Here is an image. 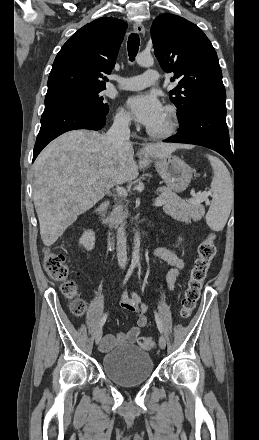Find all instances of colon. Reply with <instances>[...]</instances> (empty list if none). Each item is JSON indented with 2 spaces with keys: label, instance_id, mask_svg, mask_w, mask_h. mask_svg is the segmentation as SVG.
Masks as SVG:
<instances>
[{
  "label": "colon",
  "instance_id": "5ec220e1",
  "mask_svg": "<svg viewBox=\"0 0 259 440\" xmlns=\"http://www.w3.org/2000/svg\"><path fill=\"white\" fill-rule=\"evenodd\" d=\"M216 244L214 234H209L198 247V256L190 272L187 288L181 301L180 317L187 319L194 310L200 297L201 288L209 270L210 264L216 255ZM43 267L47 275L54 281L60 283L63 295L67 298H74L77 293L76 283L70 278V270L62 253L51 249L44 250ZM86 305L81 300H74L71 306L76 316H81ZM139 345L145 350H153L156 343L151 337H140Z\"/></svg>",
  "mask_w": 259,
  "mask_h": 440
}]
</instances>
